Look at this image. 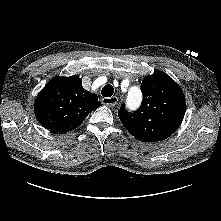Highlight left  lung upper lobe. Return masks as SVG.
<instances>
[{
	"mask_svg": "<svg viewBox=\"0 0 221 221\" xmlns=\"http://www.w3.org/2000/svg\"><path fill=\"white\" fill-rule=\"evenodd\" d=\"M143 101L134 113L118 110L124 127L138 140L161 141L172 135L185 115V97L178 84L162 71L146 76L141 84Z\"/></svg>",
	"mask_w": 221,
	"mask_h": 221,
	"instance_id": "1",
	"label": "left lung upper lobe"
}]
</instances>
